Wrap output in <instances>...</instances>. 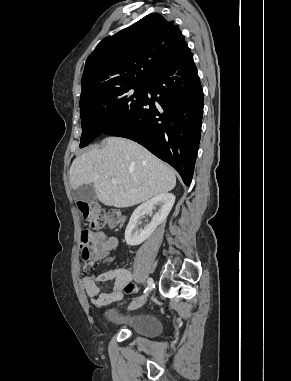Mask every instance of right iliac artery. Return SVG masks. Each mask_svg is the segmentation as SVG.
Returning <instances> with one entry per match:
<instances>
[{"label":"right iliac artery","mask_w":291,"mask_h":381,"mask_svg":"<svg viewBox=\"0 0 291 381\" xmlns=\"http://www.w3.org/2000/svg\"><path fill=\"white\" fill-rule=\"evenodd\" d=\"M147 283H148V287L145 289L144 293H146L148 290H151L154 287L152 278H148ZM141 298H143V296Z\"/></svg>","instance_id":"right-iliac-artery-1"}]
</instances>
